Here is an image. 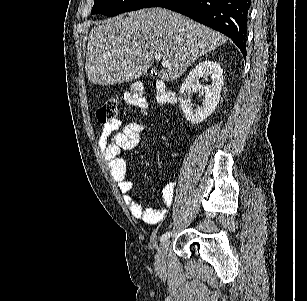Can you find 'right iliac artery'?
I'll use <instances>...</instances> for the list:
<instances>
[{"label":"right iliac artery","instance_id":"1","mask_svg":"<svg viewBox=\"0 0 307 301\" xmlns=\"http://www.w3.org/2000/svg\"><path fill=\"white\" fill-rule=\"evenodd\" d=\"M169 237H170V232H166L161 236L160 240L163 241L168 239Z\"/></svg>","mask_w":307,"mask_h":301}]
</instances>
